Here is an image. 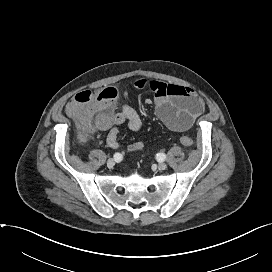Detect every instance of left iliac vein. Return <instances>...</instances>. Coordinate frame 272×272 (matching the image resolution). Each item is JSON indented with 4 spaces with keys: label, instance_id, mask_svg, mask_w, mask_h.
<instances>
[{
    "label": "left iliac vein",
    "instance_id": "4c4485c4",
    "mask_svg": "<svg viewBox=\"0 0 272 272\" xmlns=\"http://www.w3.org/2000/svg\"><path fill=\"white\" fill-rule=\"evenodd\" d=\"M158 168H159L160 170H165V169L167 168V165H166V163H164V162H159Z\"/></svg>",
    "mask_w": 272,
    "mask_h": 272
}]
</instances>
